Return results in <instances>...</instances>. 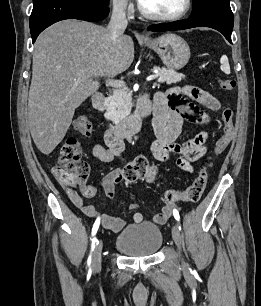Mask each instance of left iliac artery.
Wrapping results in <instances>:
<instances>
[{
    "label": "left iliac artery",
    "instance_id": "1",
    "mask_svg": "<svg viewBox=\"0 0 261 306\" xmlns=\"http://www.w3.org/2000/svg\"><path fill=\"white\" fill-rule=\"evenodd\" d=\"M173 215H174V218H175L177 221L180 220L179 212H178L176 209L173 210Z\"/></svg>",
    "mask_w": 261,
    "mask_h": 306
}]
</instances>
